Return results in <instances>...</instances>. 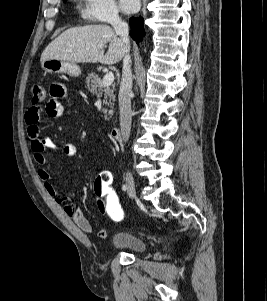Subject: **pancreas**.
I'll return each mask as SVG.
<instances>
[{
  "label": "pancreas",
  "instance_id": "pancreas-1",
  "mask_svg": "<svg viewBox=\"0 0 267 301\" xmlns=\"http://www.w3.org/2000/svg\"><path fill=\"white\" fill-rule=\"evenodd\" d=\"M86 87L92 94L95 95L100 92H104L103 105H105L106 108H103V113L105 114V120H108V115H112L113 113V105L115 101V85L103 87L101 78L97 74L92 72L86 78ZM107 107H109V109Z\"/></svg>",
  "mask_w": 267,
  "mask_h": 301
}]
</instances>
